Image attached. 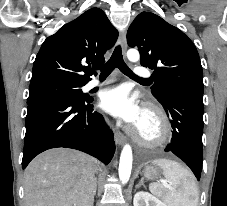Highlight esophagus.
<instances>
[{
    "instance_id": "esophagus-1",
    "label": "esophagus",
    "mask_w": 227,
    "mask_h": 206,
    "mask_svg": "<svg viewBox=\"0 0 227 206\" xmlns=\"http://www.w3.org/2000/svg\"><path fill=\"white\" fill-rule=\"evenodd\" d=\"M119 43L122 47V51H123V54L125 56V53H126V49H127V42H126V32L125 31H122L120 33V36H119ZM115 142L118 146H122L124 144V141H125V137L124 135L120 132V131H115Z\"/></svg>"
}]
</instances>
